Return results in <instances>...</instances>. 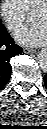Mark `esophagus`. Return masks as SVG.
I'll return each instance as SVG.
<instances>
[{"label":"esophagus","mask_w":47,"mask_h":129,"mask_svg":"<svg viewBox=\"0 0 47 129\" xmlns=\"http://www.w3.org/2000/svg\"><path fill=\"white\" fill-rule=\"evenodd\" d=\"M23 52L29 54V53H35L36 50L35 49H32V48H26V47H24L23 48Z\"/></svg>","instance_id":"esophagus-1"}]
</instances>
